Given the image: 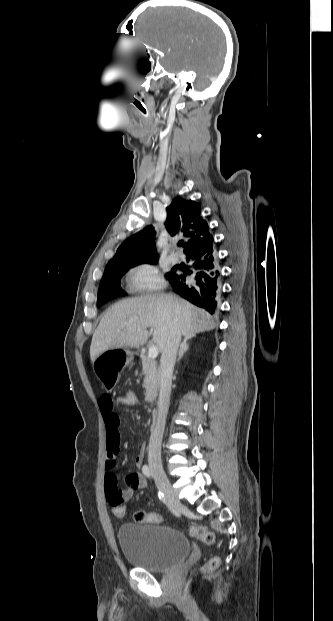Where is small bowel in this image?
<instances>
[{
  "mask_svg": "<svg viewBox=\"0 0 333 621\" xmlns=\"http://www.w3.org/2000/svg\"><path fill=\"white\" fill-rule=\"evenodd\" d=\"M116 401L122 403L121 397H118ZM98 405L104 421L107 436V472L105 474L107 501L112 509L116 506L124 507V503H126L133 496L135 491L146 486V480L140 472L129 470L125 475L127 487L123 489L119 487L118 477L112 470L116 466V459L119 453L120 420L114 411V399L109 394L101 395L98 400ZM143 460L144 452L141 450L134 459V464L137 469L141 468Z\"/></svg>",
  "mask_w": 333,
  "mask_h": 621,
  "instance_id": "small-bowel-1",
  "label": "small bowel"
}]
</instances>
